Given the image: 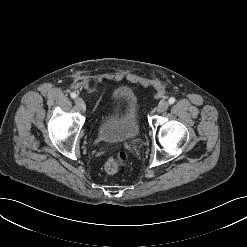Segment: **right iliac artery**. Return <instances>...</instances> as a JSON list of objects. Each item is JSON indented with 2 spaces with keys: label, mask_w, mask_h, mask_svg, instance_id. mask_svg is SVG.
I'll return each instance as SVG.
<instances>
[{
  "label": "right iliac artery",
  "mask_w": 247,
  "mask_h": 247,
  "mask_svg": "<svg viewBox=\"0 0 247 247\" xmlns=\"http://www.w3.org/2000/svg\"><path fill=\"white\" fill-rule=\"evenodd\" d=\"M70 96H71L72 98H74V99L77 97L76 93H74V92H72V93L70 94Z\"/></svg>",
  "instance_id": "obj_1"
}]
</instances>
